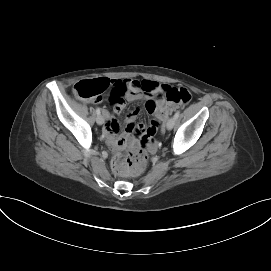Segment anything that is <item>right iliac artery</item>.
<instances>
[{
    "mask_svg": "<svg viewBox=\"0 0 271 271\" xmlns=\"http://www.w3.org/2000/svg\"><path fill=\"white\" fill-rule=\"evenodd\" d=\"M96 113H97V115H100V113H101V112H100V108H97V109H96Z\"/></svg>",
    "mask_w": 271,
    "mask_h": 271,
    "instance_id": "obj_1",
    "label": "right iliac artery"
}]
</instances>
